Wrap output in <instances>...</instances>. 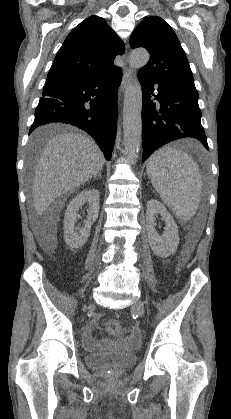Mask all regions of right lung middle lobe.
Wrapping results in <instances>:
<instances>
[{"mask_svg": "<svg viewBox=\"0 0 231 419\" xmlns=\"http://www.w3.org/2000/svg\"><path fill=\"white\" fill-rule=\"evenodd\" d=\"M40 145V141L37 140L33 141V147H38Z\"/></svg>", "mask_w": 231, "mask_h": 419, "instance_id": "obj_1", "label": "right lung middle lobe"}]
</instances>
